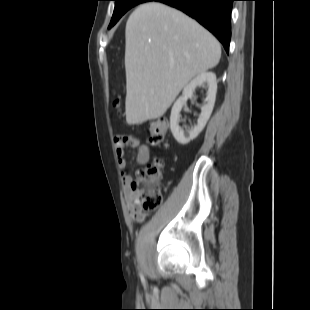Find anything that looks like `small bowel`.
<instances>
[{
  "instance_id": "1",
  "label": "small bowel",
  "mask_w": 310,
  "mask_h": 310,
  "mask_svg": "<svg viewBox=\"0 0 310 310\" xmlns=\"http://www.w3.org/2000/svg\"><path fill=\"white\" fill-rule=\"evenodd\" d=\"M115 153L117 156L118 164L121 168L127 166L125 157L126 147H133L137 150L136 161L140 165L147 164L151 159V153L147 145L142 144L133 135H117L114 137ZM132 176L129 172H122V182L124 198L127 203L128 213L136 222H142L148 215V211L142 209L140 205L135 202V195L130 191L129 184Z\"/></svg>"
}]
</instances>
